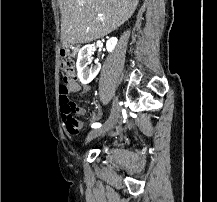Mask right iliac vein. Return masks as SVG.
Returning a JSON list of instances; mask_svg holds the SVG:
<instances>
[{
    "label": "right iliac vein",
    "instance_id": "obj_1",
    "mask_svg": "<svg viewBox=\"0 0 217 202\" xmlns=\"http://www.w3.org/2000/svg\"><path fill=\"white\" fill-rule=\"evenodd\" d=\"M119 112H120V107L118 104V99H117V97H115L113 100L112 110H111L109 118L106 120V122L104 123V125L100 129L92 130L88 134L86 143L90 142L95 137L104 135L107 131H109L118 121Z\"/></svg>",
    "mask_w": 217,
    "mask_h": 202
}]
</instances>
